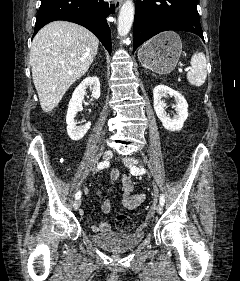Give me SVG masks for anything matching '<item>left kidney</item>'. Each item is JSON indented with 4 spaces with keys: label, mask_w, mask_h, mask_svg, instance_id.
Returning <instances> with one entry per match:
<instances>
[{
    "label": "left kidney",
    "mask_w": 240,
    "mask_h": 281,
    "mask_svg": "<svg viewBox=\"0 0 240 281\" xmlns=\"http://www.w3.org/2000/svg\"><path fill=\"white\" fill-rule=\"evenodd\" d=\"M167 95L174 96L176 104L173 105L177 115L170 118L166 115V104L162 100ZM154 110L157 117L162 122L165 129L169 131H179L182 129L185 120L188 117V104L185 98L178 92L166 85H158L153 89Z\"/></svg>",
    "instance_id": "obj_1"
}]
</instances>
